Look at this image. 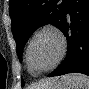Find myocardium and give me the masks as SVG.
I'll return each mask as SVG.
<instances>
[{
  "label": "myocardium",
  "instance_id": "1",
  "mask_svg": "<svg viewBox=\"0 0 89 89\" xmlns=\"http://www.w3.org/2000/svg\"><path fill=\"white\" fill-rule=\"evenodd\" d=\"M46 31L53 33L59 39L60 52H59L57 59L55 60V62L52 65H50L49 67L42 69V70H34L30 63V57H29L30 49H31L32 43L34 42L36 37ZM66 51H67V40H66L64 33L54 25L45 24V25L41 26L40 28H38L33 33V35L31 36V38L28 42V45L26 48V54H25L27 67H28L29 71L34 75H40V74L49 72V71L53 70L55 67H57L62 62V60L64 59V56L66 54Z\"/></svg>",
  "mask_w": 89,
  "mask_h": 89
}]
</instances>
